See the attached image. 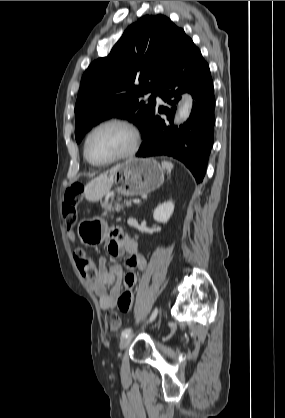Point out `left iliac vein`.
Returning a JSON list of instances; mask_svg holds the SVG:
<instances>
[{
    "label": "left iliac vein",
    "mask_w": 285,
    "mask_h": 418,
    "mask_svg": "<svg viewBox=\"0 0 285 418\" xmlns=\"http://www.w3.org/2000/svg\"><path fill=\"white\" fill-rule=\"evenodd\" d=\"M158 324H160V321L156 325H158ZM132 339H133L132 334H129L128 336L122 338L120 343H119V349L123 350V349L127 348L130 345Z\"/></svg>",
    "instance_id": "1"
}]
</instances>
